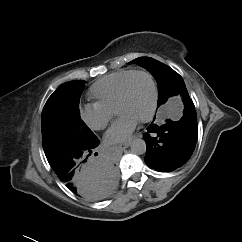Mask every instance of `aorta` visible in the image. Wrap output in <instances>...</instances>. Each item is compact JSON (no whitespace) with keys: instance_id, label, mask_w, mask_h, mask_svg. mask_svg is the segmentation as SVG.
Here are the masks:
<instances>
[{"instance_id":"1","label":"aorta","mask_w":242,"mask_h":242,"mask_svg":"<svg viewBox=\"0 0 242 242\" xmlns=\"http://www.w3.org/2000/svg\"><path fill=\"white\" fill-rule=\"evenodd\" d=\"M131 152L136 155H142L146 152V143L143 139H135L131 143Z\"/></svg>"}]
</instances>
